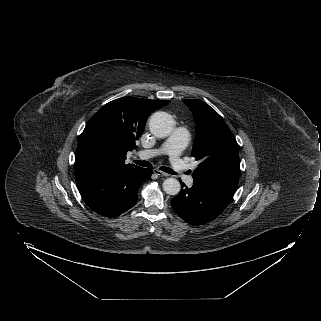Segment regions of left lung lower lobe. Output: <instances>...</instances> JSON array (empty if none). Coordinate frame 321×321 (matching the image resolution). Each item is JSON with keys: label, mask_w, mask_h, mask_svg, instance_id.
Segmentation results:
<instances>
[{"label": "left lung lower lobe", "mask_w": 321, "mask_h": 321, "mask_svg": "<svg viewBox=\"0 0 321 321\" xmlns=\"http://www.w3.org/2000/svg\"><path fill=\"white\" fill-rule=\"evenodd\" d=\"M238 186L236 179H194L191 188L181 182L179 194L171 200L174 211L191 225H203L219 216Z\"/></svg>", "instance_id": "left-lung-lower-lobe-1"}]
</instances>
